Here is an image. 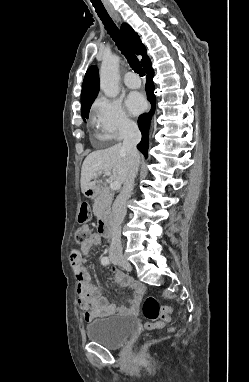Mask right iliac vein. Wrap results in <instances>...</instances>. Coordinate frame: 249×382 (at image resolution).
<instances>
[{"mask_svg":"<svg viewBox=\"0 0 249 382\" xmlns=\"http://www.w3.org/2000/svg\"><path fill=\"white\" fill-rule=\"evenodd\" d=\"M111 260H112L113 263L122 266L123 268H125L128 271H131V265L126 260V258L124 256H122V255H120V256H112Z\"/></svg>","mask_w":249,"mask_h":382,"instance_id":"right-iliac-vein-1","label":"right iliac vein"}]
</instances>
